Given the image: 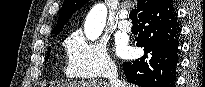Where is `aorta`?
Returning <instances> with one entry per match:
<instances>
[{"label": "aorta", "mask_w": 205, "mask_h": 87, "mask_svg": "<svg viewBox=\"0 0 205 87\" xmlns=\"http://www.w3.org/2000/svg\"><path fill=\"white\" fill-rule=\"evenodd\" d=\"M107 12L103 3L92 7L84 24V33L88 40L94 41L100 37L106 24Z\"/></svg>", "instance_id": "aorta-1"}]
</instances>
